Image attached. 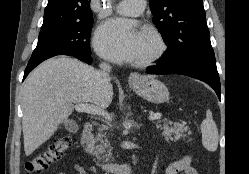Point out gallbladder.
Returning <instances> with one entry per match:
<instances>
[{
  "instance_id": "obj_1",
  "label": "gallbladder",
  "mask_w": 249,
  "mask_h": 174,
  "mask_svg": "<svg viewBox=\"0 0 249 174\" xmlns=\"http://www.w3.org/2000/svg\"><path fill=\"white\" fill-rule=\"evenodd\" d=\"M65 128L68 130V131H71V132H74L78 129V125L75 121L73 120H68L65 122Z\"/></svg>"
}]
</instances>
